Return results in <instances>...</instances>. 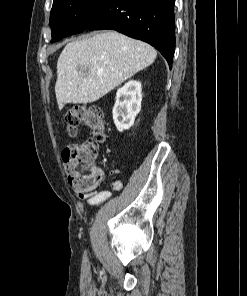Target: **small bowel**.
Here are the masks:
<instances>
[{
	"label": "small bowel",
	"instance_id": "c3829d8e",
	"mask_svg": "<svg viewBox=\"0 0 247 296\" xmlns=\"http://www.w3.org/2000/svg\"><path fill=\"white\" fill-rule=\"evenodd\" d=\"M111 187L114 191H119L123 187L121 179L112 182ZM112 195L110 190L104 189L100 191H85L77 194L80 200H85L89 206L97 207L107 201Z\"/></svg>",
	"mask_w": 247,
	"mask_h": 296
}]
</instances>
